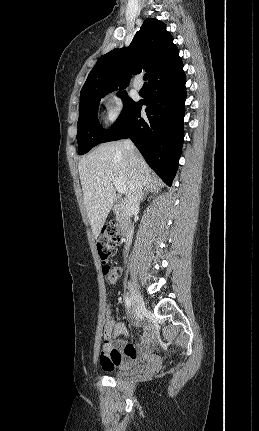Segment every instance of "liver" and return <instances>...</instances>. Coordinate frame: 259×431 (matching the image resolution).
Here are the masks:
<instances>
[{"label": "liver", "mask_w": 259, "mask_h": 431, "mask_svg": "<svg viewBox=\"0 0 259 431\" xmlns=\"http://www.w3.org/2000/svg\"><path fill=\"white\" fill-rule=\"evenodd\" d=\"M135 154L142 187L153 186L155 178L151 169L137 150ZM78 170L84 205L93 235L97 238L115 202L113 179L122 181L127 197L136 179L135 172L122 141L101 144L79 161Z\"/></svg>", "instance_id": "1"}]
</instances>
